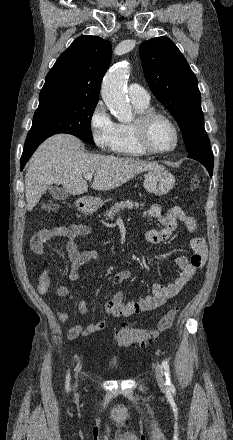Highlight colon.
<instances>
[{
  "label": "colon",
  "mask_w": 233,
  "mask_h": 440,
  "mask_svg": "<svg viewBox=\"0 0 233 440\" xmlns=\"http://www.w3.org/2000/svg\"><path fill=\"white\" fill-rule=\"evenodd\" d=\"M200 179L193 177L189 183V189L195 191L198 189ZM43 210L47 213H55L58 210V205L54 202H47L43 205ZM178 308L170 310L165 314L153 327L149 329H139L128 325H118L115 327L113 336L120 346L136 345L145 347L148 342L156 339L159 334L170 328L177 316Z\"/></svg>",
  "instance_id": "colon-1"
}]
</instances>
